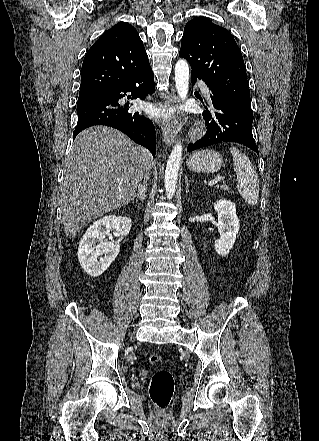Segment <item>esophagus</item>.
<instances>
[{"instance_id": "esophagus-1", "label": "esophagus", "mask_w": 319, "mask_h": 441, "mask_svg": "<svg viewBox=\"0 0 319 441\" xmlns=\"http://www.w3.org/2000/svg\"><path fill=\"white\" fill-rule=\"evenodd\" d=\"M168 105L177 106L179 103V98L175 93H171L166 96ZM177 120L174 121L167 120L166 123L163 126V141L167 146H172L175 142V137L177 134Z\"/></svg>"}]
</instances>
